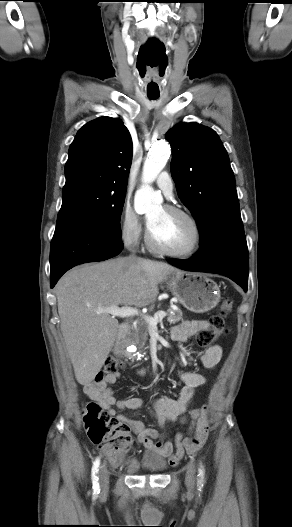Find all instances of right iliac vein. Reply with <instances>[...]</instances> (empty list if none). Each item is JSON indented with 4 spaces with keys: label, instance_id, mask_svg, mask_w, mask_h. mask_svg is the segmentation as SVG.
<instances>
[{
    "label": "right iliac vein",
    "instance_id": "obj_1",
    "mask_svg": "<svg viewBox=\"0 0 292 527\" xmlns=\"http://www.w3.org/2000/svg\"><path fill=\"white\" fill-rule=\"evenodd\" d=\"M98 476H99V483H100L101 489L103 491H106L108 488V483H109V475H108L107 468L105 466L100 467Z\"/></svg>",
    "mask_w": 292,
    "mask_h": 527
}]
</instances>
